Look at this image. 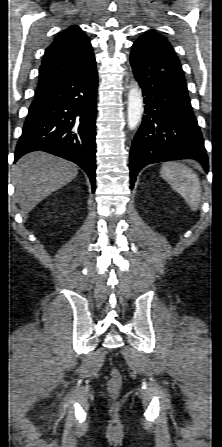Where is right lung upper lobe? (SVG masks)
Here are the masks:
<instances>
[{"label":"right lung upper lobe","mask_w":222,"mask_h":447,"mask_svg":"<svg viewBox=\"0 0 222 447\" xmlns=\"http://www.w3.org/2000/svg\"><path fill=\"white\" fill-rule=\"evenodd\" d=\"M93 59L90 41L78 26L59 33L45 50L35 98L46 95L74 77Z\"/></svg>","instance_id":"1"}]
</instances>
